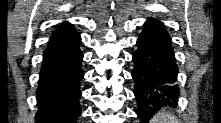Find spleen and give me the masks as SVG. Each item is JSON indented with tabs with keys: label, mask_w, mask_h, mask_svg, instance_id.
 <instances>
[{
	"label": "spleen",
	"mask_w": 221,
	"mask_h": 123,
	"mask_svg": "<svg viewBox=\"0 0 221 123\" xmlns=\"http://www.w3.org/2000/svg\"><path fill=\"white\" fill-rule=\"evenodd\" d=\"M175 120L176 119L172 113L161 110L153 116L150 123H174Z\"/></svg>",
	"instance_id": "1"
}]
</instances>
